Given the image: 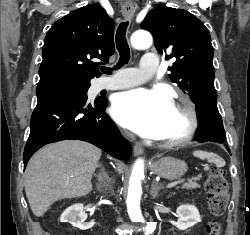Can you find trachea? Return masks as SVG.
Returning a JSON list of instances; mask_svg holds the SVG:
<instances>
[{"instance_id": "3493384b", "label": "trachea", "mask_w": 250, "mask_h": 235, "mask_svg": "<svg viewBox=\"0 0 250 235\" xmlns=\"http://www.w3.org/2000/svg\"><path fill=\"white\" fill-rule=\"evenodd\" d=\"M128 27V22H123L119 25L116 31V48L119 52L120 59L116 66H114V70L121 68L123 65L127 64L130 59V49L126 39V31ZM102 73L111 74L112 69L109 67H101Z\"/></svg>"}]
</instances>
